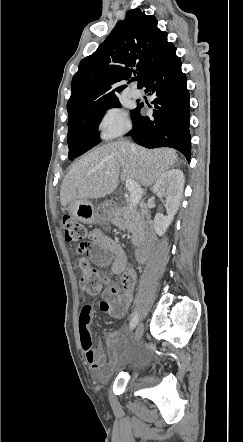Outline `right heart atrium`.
Here are the masks:
<instances>
[{"mask_svg": "<svg viewBox=\"0 0 243 442\" xmlns=\"http://www.w3.org/2000/svg\"><path fill=\"white\" fill-rule=\"evenodd\" d=\"M130 128L131 121L128 114L119 107L106 109L98 123L100 135L105 139L117 138Z\"/></svg>", "mask_w": 243, "mask_h": 442, "instance_id": "obj_1", "label": "right heart atrium"}]
</instances>
